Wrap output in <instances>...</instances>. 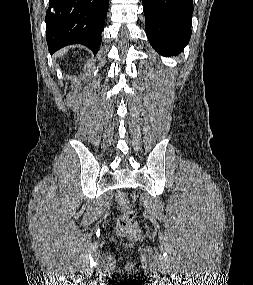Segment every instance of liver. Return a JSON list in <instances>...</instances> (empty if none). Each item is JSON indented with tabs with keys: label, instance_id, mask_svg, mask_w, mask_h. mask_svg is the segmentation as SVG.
Masks as SVG:
<instances>
[{
	"label": "liver",
	"instance_id": "obj_1",
	"mask_svg": "<svg viewBox=\"0 0 253 285\" xmlns=\"http://www.w3.org/2000/svg\"><path fill=\"white\" fill-rule=\"evenodd\" d=\"M62 54V52H60L58 55L60 56Z\"/></svg>",
	"mask_w": 253,
	"mask_h": 285
}]
</instances>
